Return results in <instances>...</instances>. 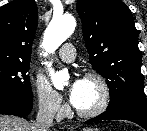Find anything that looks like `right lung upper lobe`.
I'll return each instance as SVG.
<instances>
[{
    "instance_id": "cb5924a9",
    "label": "right lung upper lobe",
    "mask_w": 147,
    "mask_h": 131,
    "mask_svg": "<svg viewBox=\"0 0 147 131\" xmlns=\"http://www.w3.org/2000/svg\"><path fill=\"white\" fill-rule=\"evenodd\" d=\"M38 22L35 0H14L0 8V59L30 61Z\"/></svg>"
}]
</instances>
